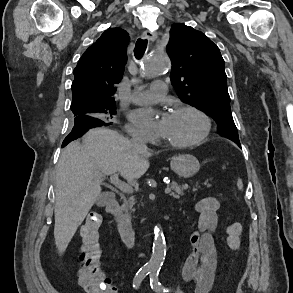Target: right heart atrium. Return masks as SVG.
Wrapping results in <instances>:
<instances>
[{
  "label": "right heart atrium",
  "mask_w": 293,
  "mask_h": 293,
  "mask_svg": "<svg viewBox=\"0 0 293 293\" xmlns=\"http://www.w3.org/2000/svg\"><path fill=\"white\" fill-rule=\"evenodd\" d=\"M126 132L134 138L151 141V137L147 132L141 130L140 128L134 126L133 124L127 123L125 125Z\"/></svg>",
  "instance_id": "d8ad5b80"
}]
</instances>
